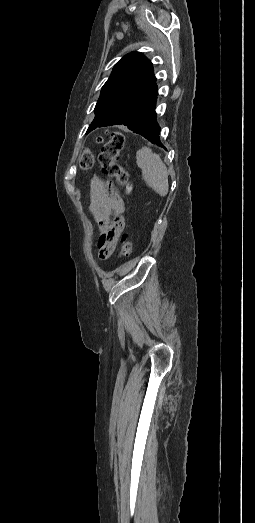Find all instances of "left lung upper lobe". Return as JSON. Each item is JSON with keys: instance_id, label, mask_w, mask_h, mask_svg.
Segmentation results:
<instances>
[{"instance_id": "1", "label": "left lung upper lobe", "mask_w": 255, "mask_h": 523, "mask_svg": "<svg viewBox=\"0 0 255 523\" xmlns=\"http://www.w3.org/2000/svg\"><path fill=\"white\" fill-rule=\"evenodd\" d=\"M157 95L156 77L150 60L140 52L125 55L114 66L102 87L94 109L95 118L87 133L97 127L119 124L134 133L136 130H152V125H158L155 112Z\"/></svg>"}]
</instances>
